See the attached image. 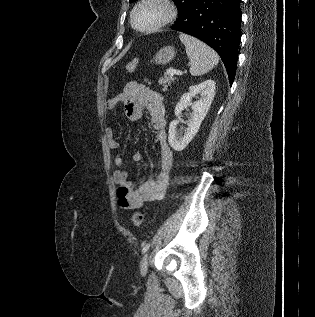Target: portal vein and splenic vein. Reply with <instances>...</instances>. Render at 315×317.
Returning <instances> with one entry per match:
<instances>
[{"mask_svg": "<svg viewBox=\"0 0 315 317\" xmlns=\"http://www.w3.org/2000/svg\"><path fill=\"white\" fill-rule=\"evenodd\" d=\"M170 72V75L173 76V75H182L183 73L179 70H174V69H171V70H168Z\"/></svg>", "mask_w": 315, "mask_h": 317, "instance_id": "obj_1", "label": "portal vein and splenic vein"}]
</instances>
